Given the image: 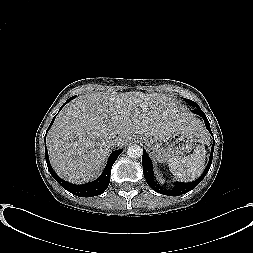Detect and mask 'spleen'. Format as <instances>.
I'll return each mask as SVG.
<instances>
[{
    "label": "spleen",
    "mask_w": 253,
    "mask_h": 253,
    "mask_svg": "<svg viewBox=\"0 0 253 253\" xmlns=\"http://www.w3.org/2000/svg\"><path fill=\"white\" fill-rule=\"evenodd\" d=\"M205 156L206 150L204 145H197L192 154L169 159L168 166L171 173L179 180H195L204 170Z\"/></svg>",
    "instance_id": "3e777b00"
}]
</instances>
